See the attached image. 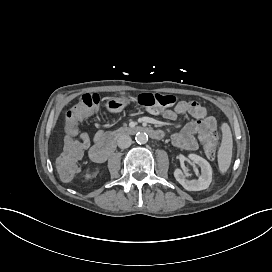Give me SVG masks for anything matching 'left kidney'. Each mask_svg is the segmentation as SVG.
Masks as SVG:
<instances>
[{"label":"left kidney","instance_id":"1","mask_svg":"<svg viewBox=\"0 0 272 272\" xmlns=\"http://www.w3.org/2000/svg\"><path fill=\"white\" fill-rule=\"evenodd\" d=\"M187 157L201 168V175L198 179L188 180L180 168H175V179L185 189L190 191H199L206 189L212 182V168L210 164L204 158L194 153H189Z\"/></svg>","mask_w":272,"mask_h":272}]
</instances>
